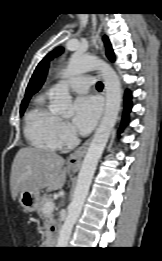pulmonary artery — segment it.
I'll list each match as a JSON object with an SVG mask.
<instances>
[{
	"label": "pulmonary artery",
	"instance_id": "obj_1",
	"mask_svg": "<svg viewBox=\"0 0 162 261\" xmlns=\"http://www.w3.org/2000/svg\"><path fill=\"white\" fill-rule=\"evenodd\" d=\"M95 78L90 75H78L69 79L66 84L69 89L76 93H85L88 88L94 83Z\"/></svg>",
	"mask_w": 162,
	"mask_h": 261
}]
</instances>
